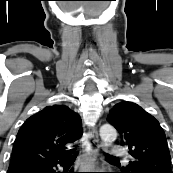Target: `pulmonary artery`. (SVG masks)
<instances>
[{
	"label": "pulmonary artery",
	"instance_id": "1",
	"mask_svg": "<svg viewBox=\"0 0 173 173\" xmlns=\"http://www.w3.org/2000/svg\"><path fill=\"white\" fill-rule=\"evenodd\" d=\"M110 152L113 156H117V157H123L126 155L124 148L119 146L111 147Z\"/></svg>",
	"mask_w": 173,
	"mask_h": 173
}]
</instances>
